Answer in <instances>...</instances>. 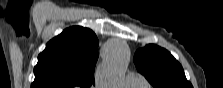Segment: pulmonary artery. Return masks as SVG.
<instances>
[{
  "label": "pulmonary artery",
  "mask_w": 223,
  "mask_h": 88,
  "mask_svg": "<svg viewBox=\"0 0 223 88\" xmlns=\"http://www.w3.org/2000/svg\"><path fill=\"white\" fill-rule=\"evenodd\" d=\"M125 84L132 88L144 87L147 85L146 79L139 73L131 72L127 75Z\"/></svg>",
  "instance_id": "obj_1"
}]
</instances>
